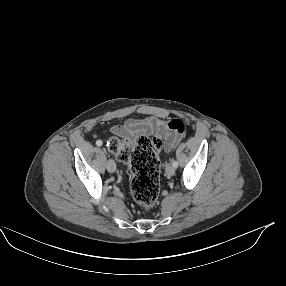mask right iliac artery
<instances>
[{
  "label": "right iliac artery",
  "mask_w": 286,
  "mask_h": 286,
  "mask_svg": "<svg viewBox=\"0 0 286 286\" xmlns=\"http://www.w3.org/2000/svg\"><path fill=\"white\" fill-rule=\"evenodd\" d=\"M96 145H97V146H101V145H102V141H101V140H97V141H96Z\"/></svg>",
  "instance_id": "right-iliac-artery-1"
}]
</instances>
